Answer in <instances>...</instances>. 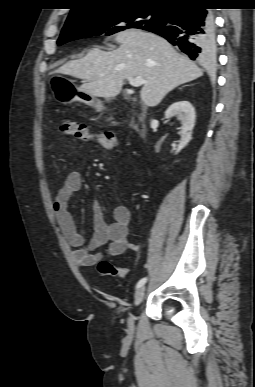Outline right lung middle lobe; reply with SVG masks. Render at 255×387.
<instances>
[{"label":"right lung middle lobe","mask_w":255,"mask_h":387,"mask_svg":"<svg viewBox=\"0 0 255 387\" xmlns=\"http://www.w3.org/2000/svg\"><path fill=\"white\" fill-rule=\"evenodd\" d=\"M165 14V8L139 6H121L96 11L77 21L65 23L57 43L62 45L75 39L103 33L111 35L127 28L146 30L160 26L165 21Z\"/></svg>","instance_id":"dd1d6c3e"}]
</instances>
